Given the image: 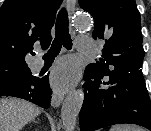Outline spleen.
<instances>
[{"instance_id":"1","label":"spleen","mask_w":151,"mask_h":131,"mask_svg":"<svg viewBox=\"0 0 151 131\" xmlns=\"http://www.w3.org/2000/svg\"><path fill=\"white\" fill-rule=\"evenodd\" d=\"M110 131H142V129L133 125L124 124L112 126Z\"/></svg>"}]
</instances>
